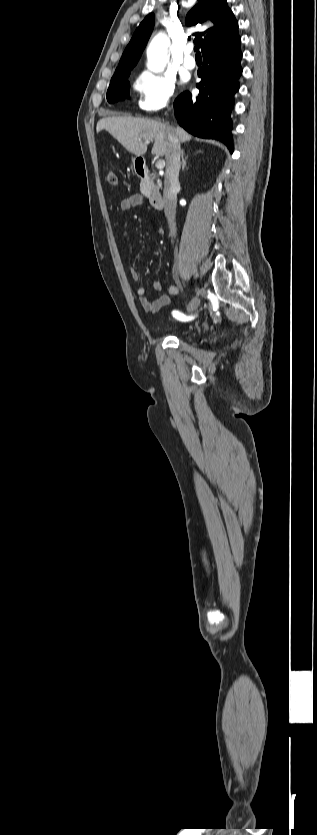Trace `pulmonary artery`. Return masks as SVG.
<instances>
[{"label":"pulmonary artery","mask_w":317,"mask_h":835,"mask_svg":"<svg viewBox=\"0 0 317 835\" xmlns=\"http://www.w3.org/2000/svg\"><path fill=\"white\" fill-rule=\"evenodd\" d=\"M193 50L194 47L191 44H188L184 49L185 56L183 59V65L187 69H194L196 67V60L192 55Z\"/></svg>","instance_id":"obj_1"}]
</instances>
